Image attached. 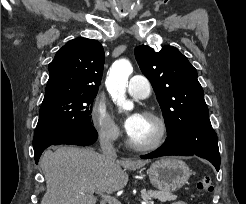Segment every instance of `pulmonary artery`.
I'll return each mask as SVG.
<instances>
[{
	"label": "pulmonary artery",
	"mask_w": 246,
	"mask_h": 204,
	"mask_svg": "<svg viewBox=\"0 0 246 204\" xmlns=\"http://www.w3.org/2000/svg\"><path fill=\"white\" fill-rule=\"evenodd\" d=\"M128 93L137 99H143L150 95L151 85L149 80L141 75L133 76L127 86Z\"/></svg>",
	"instance_id": "e3ab8cb5"
}]
</instances>
